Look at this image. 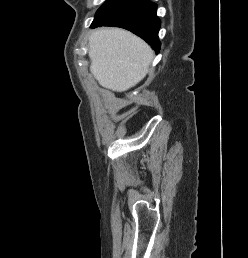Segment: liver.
Instances as JSON below:
<instances>
[{"instance_id":"liver-1","label":"liver","mask_w":248,"mask_h":258,"mask_svg":"<svg viewBox=\"0 0 248 258\" xmlns=\"http://www.w3.org/2000/svg\"><path fill=\"white\" fill-rule=\"evenodd\" d=\"M90 72L98 83L123 92L138 84L148 73L154 57L141 38L119 28H100L89 38Z\"/></svg>"}]
</instances>
